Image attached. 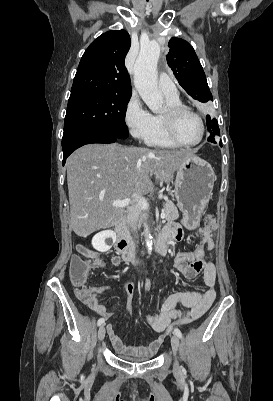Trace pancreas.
Here are the masks:
<instances>
[{"label":"pancreas","mask_w":273,"mask_h":401,"mask_svg":"<svg viewBox=\"0 0 273 401\" xmlns=\"http://www.w3.org/2000/svg\"><path fill=\"white\" fill-rule=\"evenodd\" d=\"M164 213L166 215L165 221H169V223H174L175 219H179L178 209L172 201H167V203H165Z\"/></svg>","instance_id":"cf45deb5"}]
</instances>
